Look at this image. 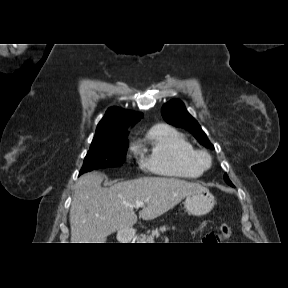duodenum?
<instances>
[{
	"mask_svg": "<svg viewBox=\"0 0 288 288\" xmlns=\"http://www.w3.org/2000/svg\"><path fill=\"white\" fill-rule=\"evenodd\" d=\"M132 238H133V235L130 232L121 231L119 233V239L122 242H128V241L132 240Z\"/></svg>",
	"mask_w": 288,
	"mask_h": 288,
	"instance_id": "410a0bca",
	"label": "duodenum"
}]
</instances>
